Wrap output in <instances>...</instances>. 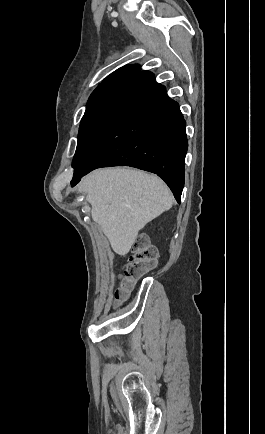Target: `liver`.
<instances>
[{"mask_svg": "<svg viewBox=\"0 0 265 434\" xmlns=\"http://www.w3.org/2000/svg\"><path fill=\"white\" fill-rule=\"evenodd\" d=\"M78 190L86 194L93 222L119 256L128 254L139 230L173 204L168 186L158 176L139 170H95L83 178Z\"/></svg>", "mask_w": 265, "mask_h": 434, "instance_id": "1", "label": "liver"}]
</instances>
